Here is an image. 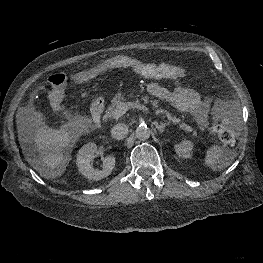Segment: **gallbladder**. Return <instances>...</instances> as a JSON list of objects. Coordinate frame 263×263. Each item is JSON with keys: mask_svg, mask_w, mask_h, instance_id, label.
Returning a JSON list of instances; mask_svg holds the SVG:
<instances>
[{"mask_svg": "<svg viewBox=\"0 0 263 263\" xmlns=\"http://www.w3.org/2000/svg\"><path fill=\"white\" fill-rule=\"evenodd\" d=\"M62 113H63V115H65L67 118H71V115L68 113L67 110L63 109V110H62Z\"/></svg>", "mask_w": 263, "mask_h": 263, "instance_id": "gallbladder-1", "label": "gallbladder"}]
</instances>
